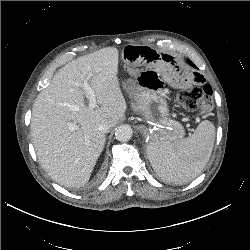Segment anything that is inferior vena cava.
Here are the masks:
<instances>
[{
	"instance_id": "obj_1",
	"label": "inferior vena cava",
	"mask_w": 250,
	"mask_h": 250,
	"mask_svg": "<svg viewBox=\"0 0 250 250\" xmlns=\"http://www.w3.org/2000/svg\"><path fill=\"white\" fill-rule=\"evenodd\" d=\"M111 125L108 122H102L98 126V130L101 131L102 133H108Z\"/></svg>"
}]
</instances>
